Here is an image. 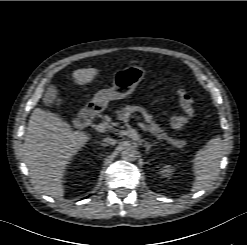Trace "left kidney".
I'll list each match as a JSON object with an SVG mask.
<instances>
[{"label":"left kidney","mask_w":247,"mask_h":245,"mask_svg":"<svg viewBox=\"0 0 247 245\" xmlns=\"http://www.w3.org/2000/svg\"><path fill=\"white\" fill-rule=\"evenodd\" d=\"M173 173V167L171 165H165L162 168L161 174L163 177L169 178Z\"/></svg>","instance_id":"left-kidney-1"}]
</instances>
